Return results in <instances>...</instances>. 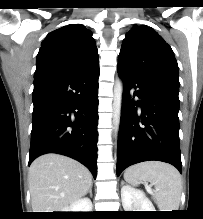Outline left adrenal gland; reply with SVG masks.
<instances>
[{"label":"left adrenal gland","instance_id":"a2214340","mask_svg":"<svg viewBox=\"0 0 203 219\" xmlns=\"http://www.w3.org/2000/svg\"><path fill=\"white\" fill-rule=\"evenodd\" d=\"M121 184H122V185L124 184V181H123V180L121 181Z\"/></svg>","mask_w":203,"mask_h":219}]
</instances>
